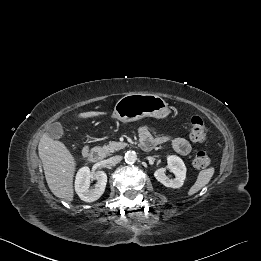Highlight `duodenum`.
<instances>
[{"mask_svg":"<svg viewBox=\"0 0 261 261\" xmlns=\"http://www.w3.org/2000/svg\"><path fill=\"white\" fill-rule=\"evenodd\" d=\"M141 146L146 150H149L152 147L149 143L145 142H141ZM83 155L91 163H98L103 159V152L97 148L84 150Z\"/></svg>","mask_w":261,"mask_h":261,"instance_id":"duodenum-1","label":"duodenum"}]
</instances>
